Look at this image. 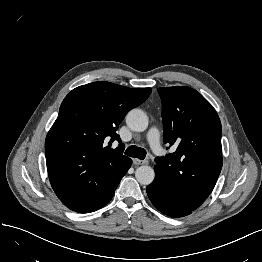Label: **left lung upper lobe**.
Instances as JSON below:
<instances>
[{
	"mask_svg": "<svg viewBox=\"0 0 262 262\" xmlns=\"http://www.w3.org/2000/svg\"><path fill=\"white\" fill-rule=\"evenodd\" d=\"M158 93L164 143L178 147L155 159V177L179 204L196 210L212 192L222 168L221 122L213 106L190 87H162Z\"/></svg>",
	"mask_w": 262,
	"mask_h": 262,
	"instance_id": "obj_1",
	"label": "left lung upper lobe"
}]
</instances>
